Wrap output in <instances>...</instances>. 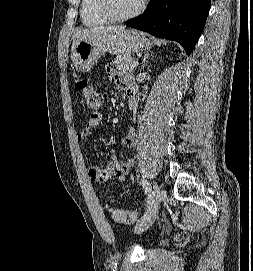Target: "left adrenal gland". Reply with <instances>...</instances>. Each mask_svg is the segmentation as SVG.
<instances>
[{
    "label": "left adrenal gland",
    "mask_w": 253,
    "mask_h": 271,
    "mask_svg": "<svg viewBox=\"0 0 253 271\" xmlns=\"http://www.w3.org/2000/svg\"><path fill=\"white\" fill-rule=\"evenodd\" d=\"M148 58H149V52L145 53V55L143 57L141 71L144 70V67L147 65Z\"/></svg>",
    "instance_id": "a2214340"
}]
</instances>
